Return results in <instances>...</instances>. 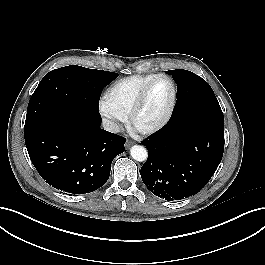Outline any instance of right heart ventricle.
I'll list each match as a JSON object with an SVG mask.
<instances>
[{"label":"right heart ventricle","mask_w":265,"mask_h":265,"mask_svg":"<svg viewBox=\"0 0 265 265\" xmlns=\"http://www.w3.org/2000/svg\"><path fill=\"white\" fill-rule=\"evenodd\" d=\"M155 75H133L116 81L106 91L105 103L124 117L129 116L140 92Z\"/></svg>","instance_id":"right-heart-ventricle-1"}]
</instances>
